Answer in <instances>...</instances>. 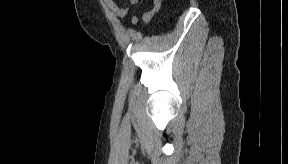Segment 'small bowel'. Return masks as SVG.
Here are the masks:
<instances>
[{"instance_id": "obj_1", "label": "small bowel", "mask_w": 288, "mask_h": 164, "mask_svg": "<svg viewBox=\"0 0 288 164\" xmlns=\"http://www.w3.org/2000/svg\"><path fill=\"white\" fill-rule=\"evenodd\" d=\"M158 11V9H156L155 7H153L152 10L144 13L143 18L145 17L146 14H149L150 18L153 16L154 13H156Z\"/></svg>"}]
</instances>
